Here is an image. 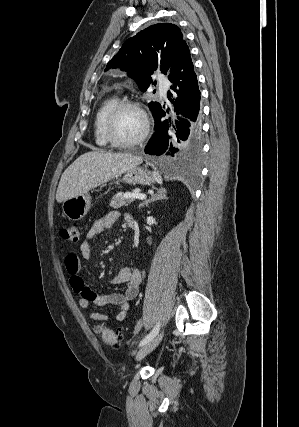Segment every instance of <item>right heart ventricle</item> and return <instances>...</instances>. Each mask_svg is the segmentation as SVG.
I'll return each instance as SVG.
<instances>
[{"mask_svg":"<svg viewBox=\"0 0 299 427\" xmlns=\"http://www.w3.org/2000/svg\"><path fill=\"white\" fill-rule=\"evenodd\" d=\"M116 95L105 98L98 106L93 121V137L95 144L102 149H110L112 145L106 140L103 125L107 113L118 102Z\"/></svg>","mask_w":299,"mask_h":427,"instance_id":"1","label":"right heart ventricle"}]
</instances>
